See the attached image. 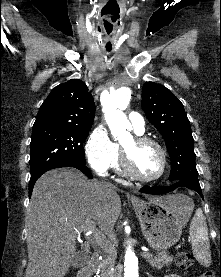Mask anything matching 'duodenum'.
<instances>
[{
  "label": "duodenum",
  "mask_w": 221,
  "mask_h": 277,
  "mask_svg": "<svg viewBox=\"0 0 221 277\" xmlns=\"http://www.w3.org/2000/svg\"><path fill=\"white\" fill-rule=\"evenodd\" d=\"M100 264H101L100 255L98 253H94L91 256V259L88 265L79 272L78 277H91L93 272H95L99 268Z\"/></svg>",
  "instance_id": "obj_1"
}]
</instances>
